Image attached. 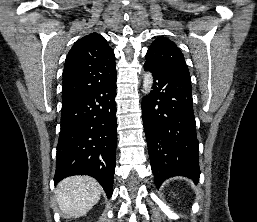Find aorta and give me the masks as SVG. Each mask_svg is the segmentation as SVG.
<instances>
[{"label":"aorta","instance_id":"aorta-1","mask_svg":"<svg viewBox=\"0 0 257 222\" xmlns=\"http://www.w3.org/2000/svg\"><path fill=\"white\" fill-rule=\"evenodd\" d=\"M153 84L151 73L146 72L143 78V92L147 95L150 93Z\"/></svg>","mask_w":257,"mask_h":222}]
</instances>
